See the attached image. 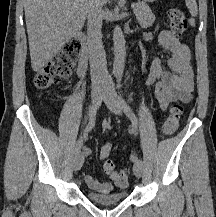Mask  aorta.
I'll list each match as a JSON object with an SVG mask.
<instances>
[{
	"mask_svg": "<svg viewBox=\"0 0 216 217\" xmlns=\"http://www.w3.org/2000/svg\"><path fill=\"white\" fill-rule=\"evenodd\" d=\"M114 42V64L113 75L121 77L125 66L126 48L123 32L120 27L116 26L113 32Z\"/></svg>",
	"mask_w": 216,
	"mask_h": 217,
	"instance_id": "1",
	"label": "aorta"
}]
</instances>
